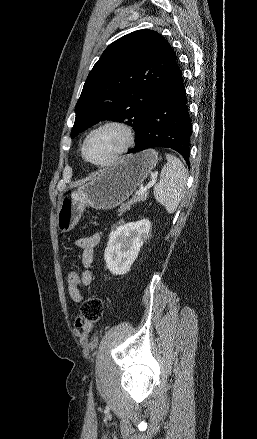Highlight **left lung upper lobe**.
Returning a JSON list of instances; mask_svg holds the SVG:
<instances>
[{
  "mask_svg": "<svg viewBox=\"0 0 257 439\" xmlns=\"http://www.w3.org/2000/svg\"><path fill=\"white\" fill-rule=\"evenodd\" d=\"M176 54L152 30L127 34L110 44L90 71L76 104L71 138L99 121L140 125L155 96L170 77Z\"/></svg>",
  "mask_w": 257,
  "mask_h": 439,
  "instance_id": "1",
  "label": "left lung upper lobe"
}]
</instances>
